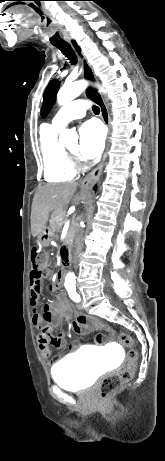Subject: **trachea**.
Returning a JSON list of instances; mask_svg holds the SVG:
<instances>
[{"instance_id": "3493384b", "label": "trachea", "mask_w": 165, "mask_h": 461, "mask_svg": "<svg viewBox=\"0 0 165 461\" xmlns=\"http://www.w3.org/2000/svg\"><path fill=\"white\" fill-rule=\"evenodd\" d=\"M53 45L58 48L72 63L76 62V55L69 43L65 42ZM87 75H91V72L88 71ZM87 96L97 104L102 102L100 95L96 91L89 90ZM93 112L98 114L100 112V108L98 106H93Z\"/></svg>"}]
</instances>
